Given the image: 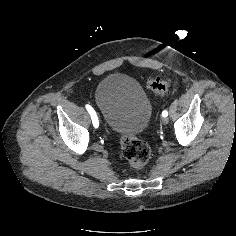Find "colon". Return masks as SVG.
I'll return each instance as SVG.
<instances>
[{
    "mask_svg": "<svg viewBox=\"0 0 236 236\" xmlns=\"http://www.w3.org/2000/svg\"><path fill=\"white\" fill-rule=\"evenodd\" d=\"M147 87L152 92L165 95L172 89L169 79L151 78L147 81ZM121 151L132 169H142L149 161L151 148L145 141L136 136H124L120 139Z\"/></svg>",
    "mask_w": 236,
    "mask_h": 236,
    "instance_id": "obj_1",
    "label": "colon"
}]
</instances>
